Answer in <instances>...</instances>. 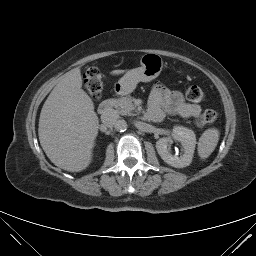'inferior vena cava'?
<instances>
[{"label":"inferior vena cava","mask_w":256,"mask_h":256,"mask_svg":"<svg viewBox=\"0 0 256 256\" xmlns=\"http://www.w3.org/2000/svg\"><path fill=\"white\" fill-rule=\"evenodd\" d=\"M101 121L107 127L116 126L119 121V114L114 109H108L101 115Z\"/></svg>","instance_id":"602c4592"}]
</instances>
